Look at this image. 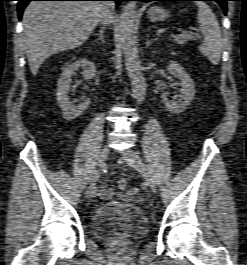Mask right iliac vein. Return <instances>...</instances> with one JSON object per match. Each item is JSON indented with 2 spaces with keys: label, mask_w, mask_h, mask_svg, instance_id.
<instances>
[{
  "label": "right iliac vein",
  "mask_w": 247,
  "mask_h": 265,
  "mask_svg": "<svg viewBox=\"0 0 247 265\" xmlns=\"http://www.w3.org/2000/svg\"><path fill=\"white\" fill-rule=\"evenodd\" d=\"M109 147L108 146H104L102 149H101V151H100V153H99V156H98V167L100 168V169H102L103 167H104V165H105V162H106V160H107V158H108V156H109ZM86 196L87 197H92V196H94V192H93V190L91 189V187H89L88 189H87V191H86Z\"/></svg>",
  "instance_id": "63e3f726"
}]
</instances>
